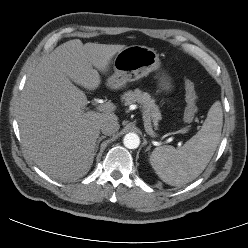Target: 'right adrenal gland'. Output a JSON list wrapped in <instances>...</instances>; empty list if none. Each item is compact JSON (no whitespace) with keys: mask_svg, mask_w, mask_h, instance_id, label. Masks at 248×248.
<instances>
[{"mask_svg":"<svg viewBox=\"0 0 248 248\" xmlns=\"http://www.w3.org/2000/svg\"><path fill=\"white\" fill-rule=\"evenodd\" d=\"M106 138V136H101L98 138L97 142H96V146H95V155L97 153V150H98V147H99V143L104 139Z\"/></svg>","mask_w":248,"mask_h":248,"instance_id":"2a0ac1e0","label":"right adrenal gland"}]
</instances>
